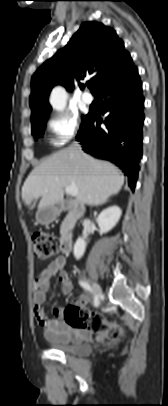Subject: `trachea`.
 Segmentation results:
<instances>
[{
  "instance_id": "3493384b",
  "label": "trachea",
  "mask_w": 168,
  "mask_h": 406,
  "mask_svg": "<svg viewBox=\"0 0 168 406\" xmlns=\"http://www.w3.org/2000/svg\"><path fill=\"white\" fill-rule=\"evenodd\" d=\"M88 87L91 88V87H92V84H88Z\"/></svg>"
}]
</instances>
